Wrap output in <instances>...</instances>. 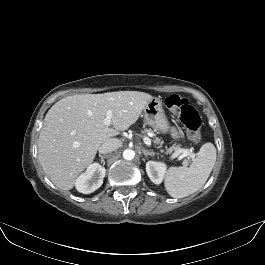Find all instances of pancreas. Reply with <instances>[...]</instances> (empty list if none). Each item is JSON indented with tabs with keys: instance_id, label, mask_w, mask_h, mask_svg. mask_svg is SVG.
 <instances>
[{
	"instance_id": "obj_1",
	"label": "pancreas",
	"mask_w": 265,
	"mask_h": 265,
	"mask_svg": "<svg viewBox=\"0 0 265 265\" xmlns=\"http://www.w3.org/2000/svg\"><path fill=\"white\" fill-rule=\"evenodd\" d=\"M153 142H154L155 144L162 145V142H161L160 138L156 137L155 134H154V140H153ZM184 150H186V149L181 148L180 145L174 144V145H172L171 147H169V148L165 151V154H172V156H173L174 154H178V155H179V154L183 153ZM187 150H188V149H187ZM189 152L192 153V150L190 149Z\"/></svg>"
}]
</instances>
